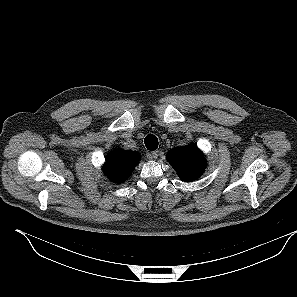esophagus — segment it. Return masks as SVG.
Returning a JSON list of instances; mask_svg holds the SVG:
<instances>
[{
    "instance_id": "obj_1",
    "label": "esophagus",
    "mask_w": 297,
    "mask_h": 297,
    "mask_svg": "<svg viewBox=\"0 0 297 297\" xmlns=\"http://www.w3.org/2000/svg\"><path fill=\"white\" fill-rule=\"evenodd\" d=\"M159 156V152L158 151H153L150 153V158L151 159H157Z\"/></svg>"
}]
</instances>
